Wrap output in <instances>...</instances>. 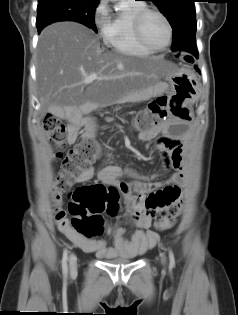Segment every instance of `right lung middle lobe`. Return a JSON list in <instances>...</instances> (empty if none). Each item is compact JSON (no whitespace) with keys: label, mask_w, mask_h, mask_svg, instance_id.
Masks as SVG:
<instances>
[{"label":"right lung middle lobe","mask_w":238,"mask_h":315,"mask_svg":"<svg viewBox=\"0 0 238 315\" xmlns=\"http://www.w3.org/2000/svg\"><path fill=\"white\" fill-rule=\"evenodd\" d=\"M99 0H38L36 26L42 30L57 21H76L95 32V9Z\"/></svg>","instance_id":"1"}]
</instances>
